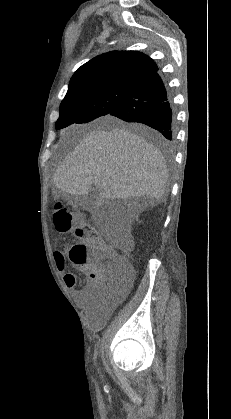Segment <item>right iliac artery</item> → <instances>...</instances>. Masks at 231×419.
I'll return each instance as SVG.
<instances>
[{
  "label": "right iliac artery",
  "mask_w": 231,
  "mask_h": 419,
  "mask_svg": "<svg viewBox=\"0 0 231 419\" xmlns=\"http://www.w3.org/2000/svg\"><path fill=\"white\" fill-rule=\"evenodd\" d=\"M95 357L94 358H96V356H97V352H95V355H94Z\"/></svg>",
  "instance_id": "82829eb1"
}]
</instances>
